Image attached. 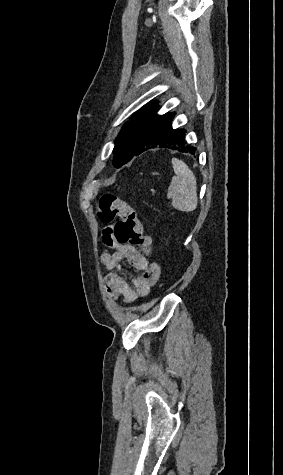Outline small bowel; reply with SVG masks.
Wrapping results in <instances>:
<instances>
[{"instance_id": "1", "label": "small bowel", "mask_w": 283, "mask_h": 475, "mask_svg": "<svg viewBox=\"0 0 283 475\" xmlns=\"http://www.w3.org/2000/svg\"><path fill=\"white\" fill-rule=\"evenodd\" d=\"M117 226L115 219H107L101 226L102 244H108L110 249L101 253V261L108 273L105 275V286L110 296L126 304L134 303L138 298L147 296L151 287L155 285L161 274L158 262L151 261L149 269H144V256L131 244L117 243L114 228ZM128 260L132 266L141 271V274L132 278L131 283L124 278L127 271L123 261ZM148 264V263H147Z\"/></svg>"}]
</instances>
